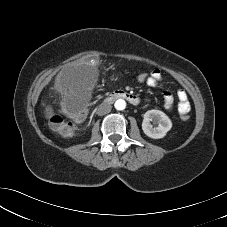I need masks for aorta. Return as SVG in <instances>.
<instances>
[{
    "label": "aorta",
    "instance_id": "obj_1",
    "mask_svg": "<svg viewBox=\"0 0 227 227\" xmlns=\"http://www.w3.org/2000/svg\"><path fill=\"white\" fill-rule=\"evenodd\" d=\"M114 106H115V109L121 111V110H124L126 108V102L123 99H118V100L115 101Z\"/></svg>",
    "mask_w": 227,
    "mask_h": 227
}]
</instances>
